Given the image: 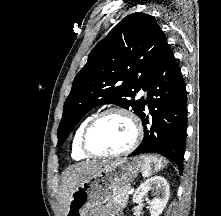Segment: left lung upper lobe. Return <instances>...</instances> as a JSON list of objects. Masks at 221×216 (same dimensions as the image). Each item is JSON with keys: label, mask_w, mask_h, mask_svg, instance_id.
Masks as SVG:
<instances>
[{"label": "left lung upper lobe", "mask_w": 221, "mask_h": 216, "mask_svg": "<svg viewBox=\"0 0 221 216\" xmlns=\"http://www.w3.org/2000/svg\"><path fill=\"white\" fill-rule=\"evenodd\" d=\"M168 43L155 18L133 13L119 22L90 52L86 65L75 76L58 128L63 144L80 119L93 107L113 103L132 108L140 117L148 81ZM130 97L131 99H127Z\"/></svg>", "instance_id": "5c2ea615"}]
</instances>
